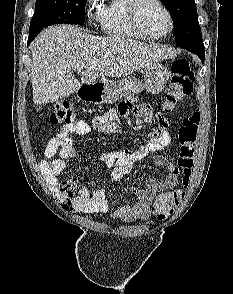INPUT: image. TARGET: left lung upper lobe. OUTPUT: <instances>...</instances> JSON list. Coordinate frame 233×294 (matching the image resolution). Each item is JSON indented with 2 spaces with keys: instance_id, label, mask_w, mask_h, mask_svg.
Listing matches in <instances>:
<instances>
[{
  "instance_id": "1",
  "label": "left lung upper lobe",
  "mask_w": 233,
  "mask_h": 294,
  "mask_svg": "<svg viewBox=\"0 0 233 294\" xmlns=\"http://www.w3.org/2000/svg\"><path fill=\"white\" fill-rule=\"evenodd\" d=\"M169 10L175 27V40L178 47L205 56L198 15L194 0H160Z\"/></svg>"
}]
</instances>
